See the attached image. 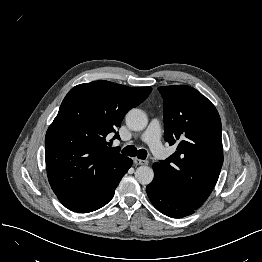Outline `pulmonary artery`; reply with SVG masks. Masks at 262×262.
<instances>
[{
	"instance_id": "e3ab8cb5",
	"label": "pulmonary artery",
	"mask_w": 262,
	"mask_h": 262,
	"mask_svg": "<svg viewBox=\"0 0 262 262\" xmlns=\"http://www.w3.org/2000/svg\"><path fill=\"white\" fill-rule=\"evenodd\" d=\"M141 140L148 144L151 151L159 159H163L165 155V149L161 142V125L158 119L151 120L149 126L141 136Z\"/></svg>"
}]
</instances>
